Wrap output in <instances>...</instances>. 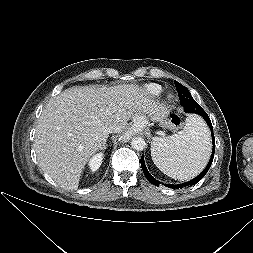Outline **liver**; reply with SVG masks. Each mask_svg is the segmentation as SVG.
<instances>
[{
  "instance_id": "6515ba94",
  "label": "liver",
  "mask_w": 253,
  "mask_h": 253,
  "mask_svg": "<svg viewBox=\"0 0 253 253\" xmlns=\"http://www.w3.org/2000/svg\"><path fill=\"white\" fill-rule=\"evenodd\" d=\"M165 114L136 85L66 89L48 101L38 120L34 148L39 165L62 188L76 190L86 163L106 142L108 128L121 131L130 119L143 128L147 117L157 121Z\"/></svg>"
}]
</instances>
